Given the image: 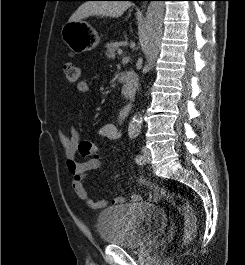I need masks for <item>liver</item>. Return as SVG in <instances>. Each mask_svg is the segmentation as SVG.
Listing matches in <instances>:
<instances>
[{"instance_id": "obj_1", "label": "liver", "mask_w": 245, "mask_h": 265, "mask_svg": "<svg viewBox=\"0 0 245 265\" xmlns=\"http://www.w3.org/2000/svg\"><path fill=\"white\" fill-rule=\"evenodd\" d=\"M127 1H87L82 4L69 18V22L81 21L90 16L119 17L129 7Z\"/></svg>"}]
</instances>
